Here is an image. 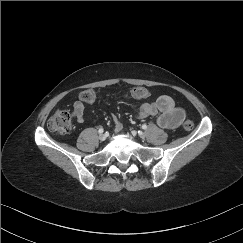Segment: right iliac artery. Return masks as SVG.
Listing matches in <instances>:
<instances>
[{"mask_svg":"<svg viewBox=\"0 0 243 243\" xmlns=\"http://www.w3.org/2000/svg\"><path fill=\"white\" fill-rule=\"evenodd\" d=\"M98 132H99V133H103V132H104L103 128H100V129L98 130Z\"/></svg>","mask_w":243,"mask_h":243,"instance_id":"obj_1","label":"right iliac artery"}]
</instances>
